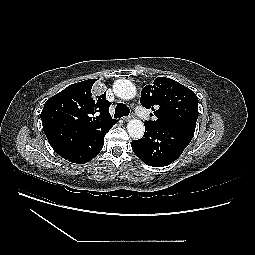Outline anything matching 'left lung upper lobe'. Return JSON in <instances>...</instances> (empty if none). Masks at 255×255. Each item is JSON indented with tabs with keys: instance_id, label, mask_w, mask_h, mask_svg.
<instances>
[{
	"instance_id": "1",
	"label": "left lung upper lobe",
	"mask_w": 255,
	"mask_h": 255,
	"mask_svg": "<svg viewBox=\"0 0 255 255\" xmlns=\"http://www.w3.org/2000/svg\"><path fill=\"white\" fill-rule=\"evenodd\" d=\"M142 106L152 109L157 117L144 123L164 128L195 131L198 118V98L195 93L177 81L158 77L152 85L142 89Z\"/></svg>"
}]
</instances>
